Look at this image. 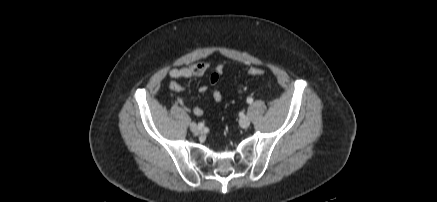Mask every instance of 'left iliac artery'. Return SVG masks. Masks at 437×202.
<instances>
[{"mask_svg": "<svg viewBox=\"0 0 437 202\" xmlns=\"http://www.w3.org/2000/svg\"><path fill=\"white\" fill-rule=\"evenodd\" d=\"M247 102H248L249 104H251V103L253 102V98L248 97V98H247Z\"/></svg>", "mask_w": 437, "mask_h": 202, "instance_id": "left-iliac-artery-1", "label": "left iliac artery"}]
</instances>
